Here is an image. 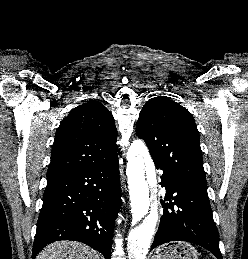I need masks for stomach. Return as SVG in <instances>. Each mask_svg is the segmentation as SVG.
Instances as JSON below:
<instances>
[{
  "label": "stomach",
  "instance_id": "obj_1",
  "mask_svg": "<svg viewBox=\"0 0 248 259\" xmlns=\"http://www.w3.org/2000/svg\"><path fill=\"white\" fill-rule=\"evenodd\" d=\"M152 259H198V253L186 242H172L157 248Z\"/></svg>",
  "mask_w": 248,
  "mask_h": 259
}]
</instances>
